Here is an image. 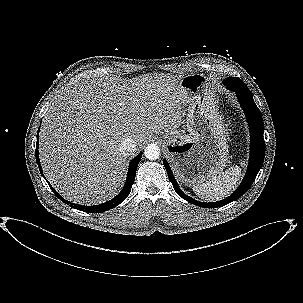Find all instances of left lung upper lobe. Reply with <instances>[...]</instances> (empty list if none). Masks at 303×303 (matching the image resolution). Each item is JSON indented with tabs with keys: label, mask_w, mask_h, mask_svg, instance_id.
<instances>
[{
	"label": "left lung upper lobe",
	"mask_w": 303,
	"mask_h": 303,
	"mask_svg": "<svg viewBox=\"0 0 303 303\" xmlns=\"http://www.w3.org/2000/svg\"><path fill=\"white\" fill-rule=\"evenodd\" d=\"M244 86L247 88L248 91H250V90L248 89V87H247L245 84H244Z\"/></svg>",
	"instance_id": "left-lung-upper-lobe-1"
}]
</instances>
